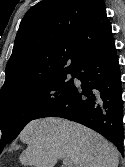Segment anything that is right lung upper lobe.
<instances>
[{
  "mask_svg": "<svg viewBox=\"0 0 125 167\" xmlns=\"http://www.w3.org/2000/svg\"><path fill=\"white\" fill-rule=\"evenodd\" d=\"M109 27L103 0L40 1L20 23L0 99L74 72L88 48Z\"/></svg>",
  "mask_w": 125,
  "mask_h": 167,
  "instance_id": "right-lung-upper-lobe-1",
  "label": "right lung upper lobe"
}]
</instances>
